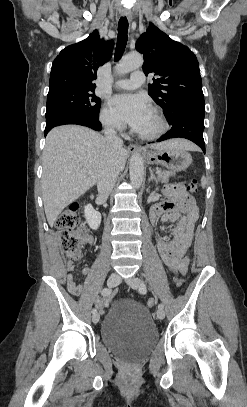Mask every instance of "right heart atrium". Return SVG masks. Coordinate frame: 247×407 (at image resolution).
I'll return each mask as SVG.
<instances>
[{"mask_svg":"<svg viewBox=\"0 0 247 407\" xmlns=\"http://www.w3.org/2000/svg\"><path fill=\"white\" fill-rule=\"evenodd\" d=\"M99 119L102 125L113 132H120L123 130V124L108 106H103L100 110Z\"/></svg>","mask_w":247,"mask_h":407,"instance_id":"1","label":"right heart atrium"}]
</instances>
